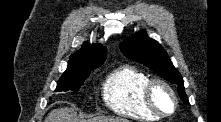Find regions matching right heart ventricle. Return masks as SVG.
<instances>
[{
  "label": "right heart ventricle",
  "instance_id": "obj_1",
  "mask_svg": "<svg viewBox=\"0 0 221 122\" xmlns=\"http://www.w3.org/2000/svg\"><path fill=\"white\" fill-rule=\"evenodd\" d=\"M149 79L146 72L132 65L112 70L103 83L104 103L112 112L124 117L158 120L159 116L147 107L143 97V89Z\"/></svg>",
  "mask_w": 221,
  "mask_h": 122
}]
</instances>
